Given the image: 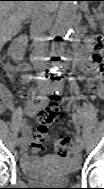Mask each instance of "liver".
<instances>
[{
    "label": "liver",
    "mask_w": 104,
    "mask_h": 189,
    "mask_svg": "<svg viewBox=\"0 0 104 189\" xmlns=\"http://www.w3.org/2000/svg\"><path fill=\"white\" fill-rule=\"evenodd\" d=\"M57 4L39 1H1L0 3V41L4 44L15 36L21 23L39 8L54 10Z\"/></svg>",
    "instance_id": "1"
}]
</instances>
